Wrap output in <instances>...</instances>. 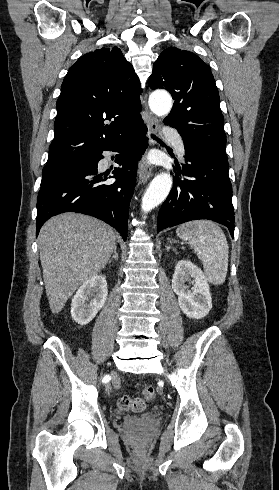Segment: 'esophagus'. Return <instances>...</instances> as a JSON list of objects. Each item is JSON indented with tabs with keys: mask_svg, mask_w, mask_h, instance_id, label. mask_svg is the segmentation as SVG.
I'll return each mask as SVG.
<instances>
[{
	"mask_svg": "<svg viewBox=\"0 0 279 490\" xmlns=\"http://www.w3.org/2000/svg\"><path fill=\"white\" fill-rule=\"evenodd\" d=\"M159 128L158 119L151 117L148 123L149 133H157ZM155 141L151 139V145H154ZM139 179L145 183L152 176V165L148 162L147 158L144 157L138 168Z\"/></svg>",
	"mask_w": 279,
	"mask_h": 490,
	"instance_id": "esophagus-1",
	"label": "esophagus"
}]
</instances>
